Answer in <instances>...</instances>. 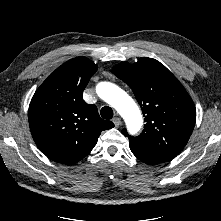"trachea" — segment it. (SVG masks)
<instances>
[{
    "instance_id": "obj_1",
    "label": "trachea",
    "mask_w": 221,
    "mask_h": 221,
    "mask_svg": "<svg viewBox=\"0 0 221 221\" xmlns=\"http://www.w3.org/2000/svg\"><path fill=\"white\" fill-rule=\"evenodd\" d=\"M101 117L104 119H112L114 113L112 108L105 106L100 111Z\"/></svg>"
}]
</instances>
